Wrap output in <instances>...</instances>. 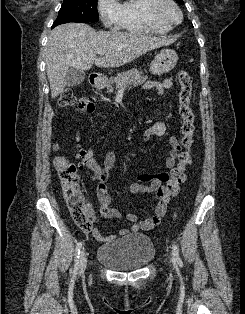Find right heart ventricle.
Returning a JSON list of instances; mask_svg holds the SVG:
<instances>
[{"label": "right heart ventricle", "mask_w": 245, "mask_h": 314, "mask_svg": "<svg viewBox=\"0 0 245 314\" xmlns=\"http://www.w3.org/2000/svg\"><path fill=\"white\" fill-rule=\"evenodd\" d=\"M155 0H126L119 4L118 28L131 33L164 34L171 26L154 20L149 7Z\"/></svg>", "instance_id": "right-heart-ventricle-1"}]
</instances>
